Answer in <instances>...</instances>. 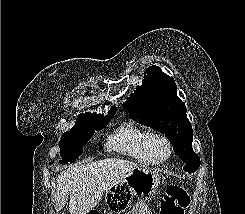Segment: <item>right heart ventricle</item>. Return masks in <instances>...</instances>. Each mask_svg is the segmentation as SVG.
Returning <instances> with one entry per match:
<instances>
[{"label":"right heart ventricle","instance_id":"obj_1","mask_svg":"<svg viewBox=\"0 0 245 214\" xmlns=\"http://www.w3.org/2000/svg\"><path fill=\"white\" fill-rule=\"evenodd\" d=\"M148 133L146 128L130 121L122 124L108 137L107 146L122 156L150 164L142 149L143 139Z\"/></svg>","mask_w":245,"mask_h":214}]
</instances>
